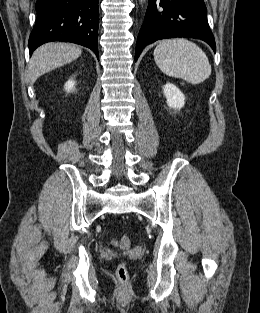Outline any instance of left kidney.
Listing matches in <instances>:
<instances>
[{"instance_id":"obj_1","label":"left kidney","mask_w":260,"mask_h":313,"mask_svg":"<svg viewBox=\"0 0 260 313\" xmlns=\"http://www.w3.org/2000/svg\"><path fill=\"white\" fill-rule=\"evenodd\" d=\"M163 93L170 108L180 110L184 106L185 96L175 85L167 83L164 86Z\"/></svg>"}]
</instances>
